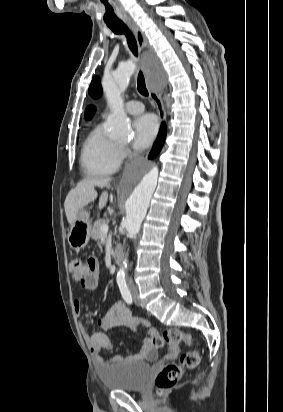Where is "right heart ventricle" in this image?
Masks as SVG:
<instances>
[{"mask_svg": "<svg viewBox=\"0 0 283 412\" xmlns=\"http://www.w3.org/2000/svg\"><path fill=\"white\" fill-rule=\"evenodd\" d=\"M121 147L106 137L102 126H96L87 136L80 156L81 167L86 175L106 176L114 174L121 166Z\"/></svg>", "mask_w": 283, "mask_h": 412, "instance_id": "obj_1", "label": "right heart ventricle"}]
</instances>
